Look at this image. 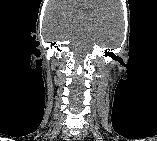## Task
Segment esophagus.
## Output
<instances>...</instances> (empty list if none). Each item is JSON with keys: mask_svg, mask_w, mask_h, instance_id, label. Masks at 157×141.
I'll use <instances>...</instances> for the list:
<instances>
[{"mask_svg": "<svg viewBox=\"0 0 157 141\" xmlns=\"http://www.w3.org/2000/svg\"><path fill=\"white\" fill-rule=\"evenodd\" d=\"M76 140H80V137L75 138Z\"/></svg>", "mask_w": 157, "mask_h": 141, "instance_id": "esophagus-1", "label": "esophagus"}]
</instances>
